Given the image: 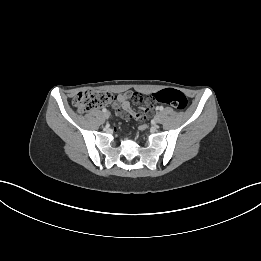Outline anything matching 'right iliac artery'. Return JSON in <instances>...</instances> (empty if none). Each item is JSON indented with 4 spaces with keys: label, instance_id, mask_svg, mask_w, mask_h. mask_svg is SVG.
Masks as SVG:
<instances>
[{
    "label": "right iliac artery",
    "instance_id": "1",
    "mask_svg": "<svg viewBox=\"0 0 261 261\" xmlns=\"http://www.w3.org/2000/svg\"><path fill=\"white\" fill-rule=\"evenodd\" d=\"M102 111L105 113V112H107V109H106V108H103Z\"/></svg>",
    "mask_w": 261,
    "mask_h": 261
}]
</instances>
